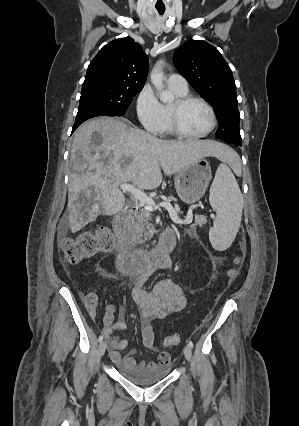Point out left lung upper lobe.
<instances>
[{
  "mask_svg": "<svg viewBox=\"0 0 299 426\" xmlns=\"http://www.w3.org/2000/svg\"><path fill=\"white\" fill-rule=\"evenodd\" d=\"M178 72L214 107L216 138L242 146L236 85L232 71L220 52L202 40H188L173 57Z\"/></svg>",
  "mask_w": 299,
  "mask_h": 426,
  "instance_id": "1",
  "label": "left lung upper lobe"
}]
</instances>
